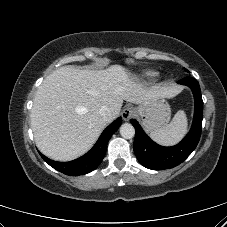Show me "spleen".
I'll use <instances>...</instances> for the list:
<instances>
[{"label":"spleen","mask_w":227,"mask_h":227,"mask_svg":"<svg viewBox=\"0 0 227 227\" xmlns=\"http://www.w3.org/2000/svg\"><path fill=\"white\" fill-rule=\"evenodd\" d=\"M187 117L183 110L178 111L170 124L151 132V138L161 145H174L178 143L187 131Z\"/></svg>","instance_id":"3e777b00"}]
</instances>
